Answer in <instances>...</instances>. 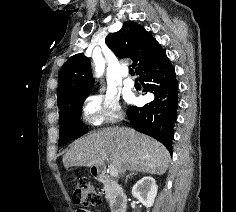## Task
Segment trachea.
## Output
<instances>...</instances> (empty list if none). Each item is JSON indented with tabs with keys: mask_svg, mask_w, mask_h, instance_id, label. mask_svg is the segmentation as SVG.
<instances>
[{
	"mask_svg": "<svg viewBox=\"0 0 236 212\" xmlns=\"http://www.w3.org/2000/svg\"><path fill=\"white\" fill-rule=\"evenodd\" d=\"M129 73H130V75H132V76L135 75L134 70H133L132 68L129 70Z\"/></svg>",
	"mask_w": 236,
	"mask_h": 212,
	"instance_id": "1",
	"label": "trachea"
}]
</instances>
